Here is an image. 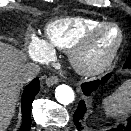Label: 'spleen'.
Segmentation results:
<instances>
[{
    "label": "spleen",
    "instance_id": "1",
    "mask_svg": "<svg viewBox=\"0 0 131 131\" xmlns=\"http://www.w3.org/2000/svg\"><path fill=\"white\" fill-rule=\"evenodd\" d=\"M103 106L110 116L128 113L131 110V80L124 82L114 93L104 98Z\"/></svg>",
    "mask_w": 131,
    "mask_h": 131
}]
</instances>
